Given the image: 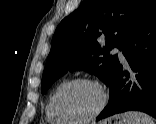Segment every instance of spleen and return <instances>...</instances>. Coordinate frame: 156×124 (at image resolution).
Here are the masks:
<instances>
[{
  "mask_svg": "<svg viewBox=\"0 0 156 124\" xmlns=\"http://www.w3.org/2000/svg\"><path fill=\"white\" fill-rule=\"evenodd\" d=\"M123 117L128 124H155L151 117L140 112L128 111Z\"/></svg>",
  "mask_w": 156,
  "mask_h": 124,
  "instance_id": "3e777b00",
  "label": "spleen"
}]
</instances>
